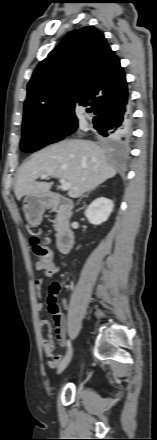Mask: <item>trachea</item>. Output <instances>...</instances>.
Listing matches in <instances>:
<instances>
[{"mask_svg": "<svg viewBox=\"0 0 157 440\" xmlns=\"http://www.w3.org/2000/svg\"><path fill=\"white\" fill-rule=\"evenodd\" d=\"M92 110H93L92 108H88V109H87L88 112H91Z\"/></svg>", "mask_w": 157, "mask_h": 440, "instance_id": "trachea-1", "label": "trachea"}]
</instances>
